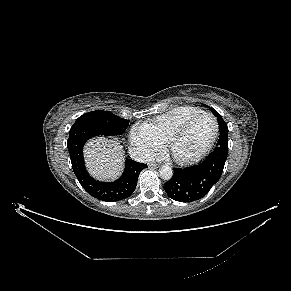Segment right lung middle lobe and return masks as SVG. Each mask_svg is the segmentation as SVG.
I'll return each mask as SVG.
<instances>
[{
  "label": "right lung middle lobe",
  "mask_w": 291,
  "mask_h": 291,
  "mask_svg": "<svg viewBox=\"0 0 291 291\" xmlns=\"http://www.w3.org/2000/svg\"><path fill=\"white\" fill-rule=\"evenodd\" d=\"M129 121L110 112L96 110L80 116L73 126L91 124L110 135H122Z\"/></svg>",
  "instance_id": "1"
}]
</instances>
